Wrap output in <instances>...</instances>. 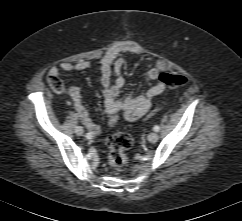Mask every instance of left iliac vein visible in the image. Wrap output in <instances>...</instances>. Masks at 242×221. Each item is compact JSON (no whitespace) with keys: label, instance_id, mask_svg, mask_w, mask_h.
<instances>
[{"label":"left iliac vein","instance_id":"left-iliac-vein-1","mask_svg":"<svg viewBox=\"0 0 242 221\" xmlns=\"http://www.w3.org/2000/svg\"><path fill=\"white\" fill-rule=\"evenodd\" d=\"M159 136L156 132H152L147 136V140L151 143H154L158 140Z\"/></svg>","mask_w":242,"mask_h":221}]
</instances>
